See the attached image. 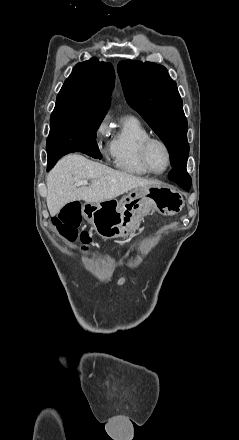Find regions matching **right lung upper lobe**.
<instances>
[{
    "label": "right lung upper lobe",
    "instance_id": "obj_1",
    "mask_svg": "<svg viewBox=\"0 0 239 440\" xmlns=\"http://www.w3.org/2000/svg\"><path fill=\"white\" fill-rule=\"evenodd\" d=\"M114 81L115 73L111 63L100 62L97 58L80 62L64 82L55 108L105 115L110 106L109 97Z\"/></svg>",
    "mask_w": 239,
    "mask_h": 440
}]
</instances>
